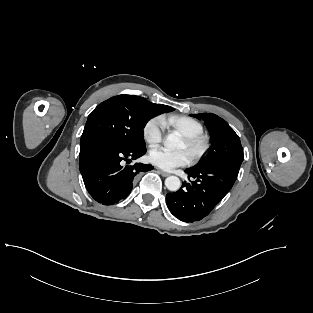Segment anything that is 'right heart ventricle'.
Instances as JSON below:
<instances>
[{
  "instance_id": "1",
  "label": "right heart ventricle",
  "mask_w": 313,
  "mask_h": 313,
  "mask_svg": "<svg viewBox=\"0 0 313 313\" xmlns=\"http://www.w3.org/2000/svg\"><path fill=\"white\" fill-rule=\"evenodd\" d=\"M164 124L179 132L183 137L196 136L203 133V125L198 120L185 115H169L163 118Z\"/></svg>"
}]
</instances>
